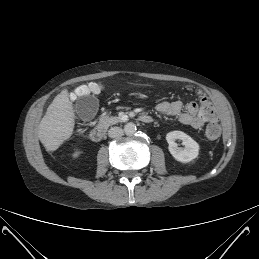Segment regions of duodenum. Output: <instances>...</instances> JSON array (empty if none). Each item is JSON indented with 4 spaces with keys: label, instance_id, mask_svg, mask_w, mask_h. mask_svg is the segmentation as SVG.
<instances>
[{
    "label": "duodenum",
    "instance_id": "1",
    "mask_svg": "<svg viewBox=\"0 0 259 259\" xmlns=\"http://www.w3.org/2000/svg\"><path fill=\"white\" fill-rule=\"evenodd\" d=\"M139 120L142 123L149 124L152 122L153 119L151 116L144 114L139 117ZM105 134L106 129L104 126H96L90 131V138L94 142H99L104 138Z\"/></svg>",
    "mask_w": 259,
    "mask_h": 259
}]
</instances>
